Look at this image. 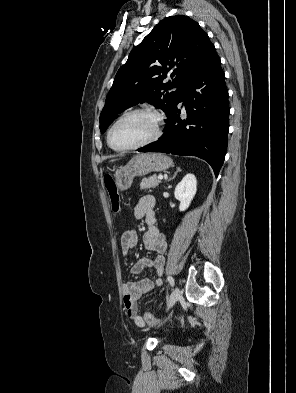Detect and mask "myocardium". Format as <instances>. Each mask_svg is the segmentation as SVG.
Listing matches in <instances>:
<instances>
[{"label": "myocardium", "mask_w": 296, "mask_h": 393, "mask_svg": "<svg viewBox=\"0 0 296 393\" xmlns=\"http://www.w3.org/2000/svg\"><path fill=\"white\" fill-rule=\"evenodd\" d=\"M134 114H148L151 115L152 117H154L155 119V131L154 134L148 138L147 140L140 142L138 144L132 145V146H128V147H116L113 142H112V133L114 128L118 125V123H120L123 119H125L128 116L134 115ZM163 125H164V118L162 116V114L160 112H158L155 109H151V108H136V109H132L130 111H127L126 113H124L123 115H121L114 123L113 125L110 127L108 134H107V141L109 146L118 152H125V151H130V150H135V149H139L142 147H145L147 145H150L152 143H154L155 141H157L161 135H162V131H163Z\"/></svg>", "instance_id": "myocardium-1"}]
</instances>
